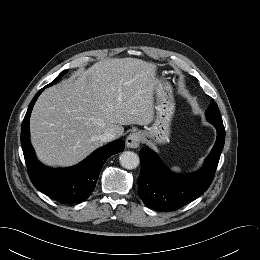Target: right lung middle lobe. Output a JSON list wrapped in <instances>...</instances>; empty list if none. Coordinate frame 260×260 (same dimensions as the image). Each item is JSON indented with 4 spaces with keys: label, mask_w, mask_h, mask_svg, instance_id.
<instances>
[{
    "label": "right lung middle lobe",
    "mask_w": 260,
    "mask_h": 260,
    "mask_svg": "<svg viewBox=\"0 0 260 260\" xmlns=\"http://www.w3.org/2000/svg\"><path fill=\"white\" fill-rule=\"evenodd\" d=\"M65 73H66V71L60 73L59 76H58L53 82H51L50 84H48L46 87H49V86L55 84Z\"/></svg>",
    "instance_id": "1"
}]
</instances>
